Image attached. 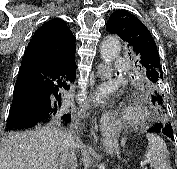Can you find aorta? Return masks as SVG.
Segmentation results:
<instances>
[{
    "label": "aorta",
    "mask_w": 177,
    "mask_h": 169,
    "mask_svg": "<svg viewBox=\"0 0 177 169\" xmlns=\"http://www.w3.org/2000/svg\"><path fill=\"white\" fill-rule=\"evenodd\" d=\"M121 51L120 40L116 37H109L100 46L101 57L109 62L115 60Z\"/></svg>",
    "instance_id": "762f6f07"
}]
</instances>
